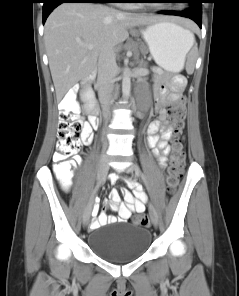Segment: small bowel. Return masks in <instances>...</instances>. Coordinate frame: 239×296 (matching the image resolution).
<instances>
[{
  "mask_svg": "<svg viewBox=\"0 0 239 296\" xmlns=\"http://www.w3.org/2000/svg\"><path fill=\"white\" fill-rule=\"evenodd\" d=\"M185 81L175 79L174 85L169 88L166 85H161L155 93V110L158 112V117L150 122L147 126V144L153 149L161 166H165L167 155L170 151L168 141L172 136L173 127L167 119L166 104L175 103L181 99V92L184 88ZM81 140L84 144H90L93 140V126L89 122L82 125ZM111 182L118 180V175L112 174ZM128 188H122L121 194L126 204L121 203L120 193L113 189L110 193L111 202L109 208L118 213V217L107 216L105 213L98 214V206L96 205L94 212V220L91 228H98L115 222H127L132 213H141L145 210L143 202H147V193H143L140 185L132 180L127 181ZM97 212V213H96Z\"/></svg>",
  "mask_w": 239,
  "mask_h": 296,
  "instance_id": "1",
  "label": "small bowel"
}]
</instances>
